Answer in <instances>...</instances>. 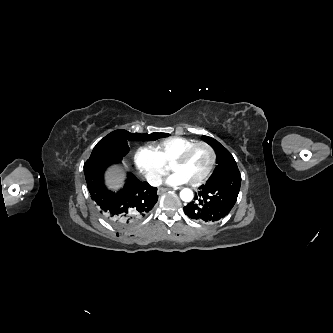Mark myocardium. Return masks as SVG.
Returning <instances> with one entry per match:
<instances>
[{"label": "myocardium", "mask_w": 333, "mask_h": 333, "mask_svg": "<svg viewBox=\"0 0 333 333\" xmlns=\"http://www.w3.org/2000/svg\"><path fill=\"white\" fill-rule=\"evenodd\" d=\"M197 147H204L206 148L210 154H211V161L209 164L208 169L206 170V172L198 179L191 181L190 184L193 186H198L203 184L204 182H206L208 180V178L211 176V174L213 173L216 163H217V152L214 149L213 146H211L209 143L207 142H203V141H199V142H195L194 144L190 145L189 147L185 148L173 161H172V166L174 165H178V164H182L183 162L186 161V159L188 158L189 154Z\"/></svg>", "instance_id": "1"}]
</instances>
